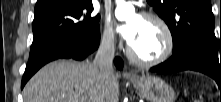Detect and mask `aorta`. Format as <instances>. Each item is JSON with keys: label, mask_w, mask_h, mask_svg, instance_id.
Returning a JSON list of instances; mask_svg holds the SVG:
<instances>
[{"label": "aorta", "mask_w": 221, "mask_h": 102, "mask_svg": "<svg viewBox=\"0 0 221 102\" xmlns=\"http://www.w3.org/2000/svg\"><path fill=\"white\" fill-rule=\"evenodd\" d=\"M134 12V7L130 1L116 0L115 16L118 20H126L131 13Z\"/></svg>", "instance_id": "762f6f07"}]
</instances>
